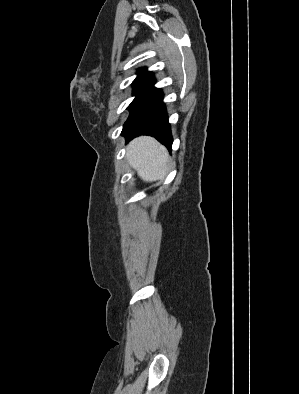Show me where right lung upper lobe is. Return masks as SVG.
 I'll list each match as a JSON object with an SVG mask.
<instances>
[{"instance_id":"right-lung-upper-lobe-1","label":"right lung upper lobe","mask_w":299,"mask_h":394,"mask_svg":"<svg viewBox=\"0 0 299 394\" xmlns=\"http://www.w3.org/2000/svg\"><path fill=\"white\" fill-rule=\"evenodd\" d=\"M137 74L138 76L133 82L135 88H145L147 90L153 88L155 79L151 72H148L146 68H140Z\"/></svg>"}]
</instances>
